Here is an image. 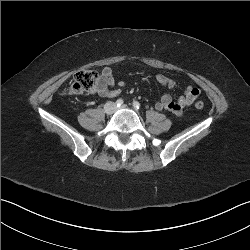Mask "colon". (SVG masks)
<instances>
[{"instance_id": "obj_1", "label": "colon", "mask_w": 250, "mask_h": 250, "mask_svg": "<svg viewBox=\"0 0 250 250\" xmlns=\"http://www.w3.org/2000/svg\"><path fill=\"white\" fill-rule=\"evenodd\" d=\"M100 81L99 74L94 70H82L75 74L72 84L67 88L66 92L70 94H92L97 90ZM197 109H202L204 103L197 101L195 103Z\"/></svg>"}]
</instances>
